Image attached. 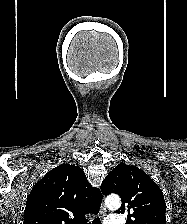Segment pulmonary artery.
<instances>
[{
	"label": "pulmonary artery",
	"instance_id": "obj_1",
	"mask_svg": "<svg viewBox=\"0 0 187 224\" xmlns=\"http://www.w3.org/2000/svg\"><path fill=\"white\" fill-rule=\"evenodd\" d=\"M105 224H122V220L119 216L108 219Z\"/></svg>",
	"mask_w": 187,
	"mask_h": 224
}]
</instances>
